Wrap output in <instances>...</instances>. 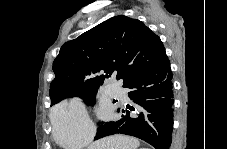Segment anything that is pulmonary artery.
Here are the masks:
<instances>
[{
  "label": "pulmonary artery",
  "mask_w": 227,
  "mask_h": 149,
  "mask_svg": "<svg viewBox=\"0 0 227 149\" xmlns=\"http://www.w3.org/2000/svg\"><path fill=\"white\" fill-rule=\"evenodd\" d=\"M112 93H113V94H116V93H117V91H115V90H112Z\"/></svg>",
  "instance_id": "pulmonary-artery-1"
}]
</instances>
